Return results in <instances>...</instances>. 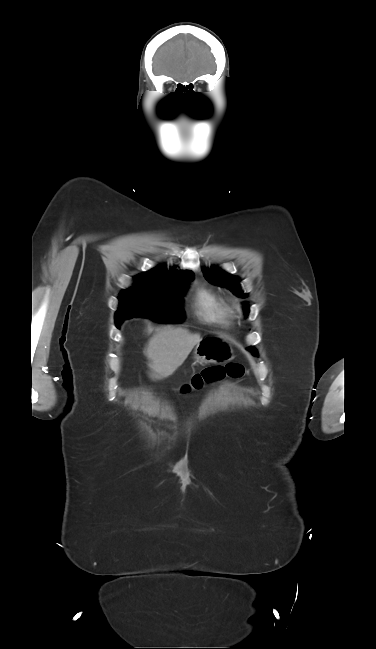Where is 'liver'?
Listing matches in <instances>:
<instances>
[{"label":"liver","instance_id":"6515ba94","mask_svg":"<svg viewBox=\"0 0 376 649\" xmlns=\"http://www.w3.org/2000/svg\"><path fill=\"white\" fill-rule=\"evenodd\" d=\"M200 340V334H192L187 329L171 326L159 329L144 350L150 377L160 380L172 375Z\"/></svg>","mask_w":376,"mask_h":649}]
</instances>
